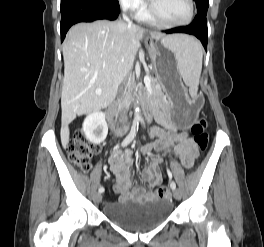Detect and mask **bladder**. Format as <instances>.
I'll return each instance as SVG.
<instances>
[{"label": "bladder", "instance_id": "1", "mask_svg": "<svg viewBox=\"0 0 264 247\" xmlns=\"http://www.w3.org/2000/svg\"><path fill=\"white\" fill-rule=\"evenodd\" d=\"M172 210L169 201L157 198L148 201L122 200L104 207L105 217L130 231H147L168 219Z\"/></svg>", "mask_w": 264, "mask_h": 247}]
</instances>
